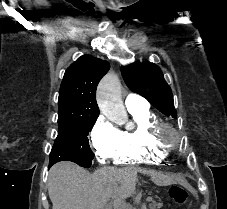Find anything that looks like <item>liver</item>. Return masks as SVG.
Returning <instances> with one entry per match:
<instances>
[{
    "mask_svg": "<svg viewBox=\"0 0 227 209\" xmlns=\"http://www.w3.org/2000/svg\"><path fill=\"white\" fill-rule=\"evenodd\" d=\"M138 171L142 169L102 167L90 175L75 163L61 161L48 173V195L53 209H103L116 181L125 197L134 191Z\"/></svg>",
    "mask_w": 227,
    "mask_h": 209,
    "instance_id": "1",
    "label": "liver"
}]
</instances>
